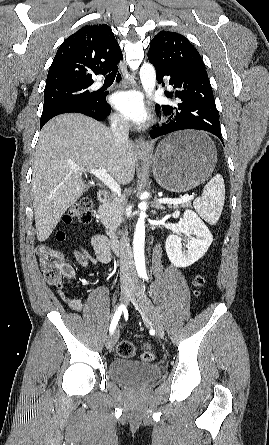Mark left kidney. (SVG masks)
I'll return each instance as SVG.
<instances>
[{
  "label": "left kidney",
  "mask_w": 269,
  "mask_h": 445,
  "mask_svg": "<svg viewBox=\"0 0 269 445\" xmlns=\"http://www.w3.org/2000/svg\"><path fill=\"white\" fill-rule=\"evenodd\" d=\"M173 218H178L180 212L176 211L172 214ZM182 233L190 236V240L186 241V250L182 249V236L170 235L165 242V249L170 262L176 267H188L198 261L208 250L213 241V236L192 210H186L180 221Z\"/></svg>",
  "instance_id": "left-kidney-1"
}]
</instances>
